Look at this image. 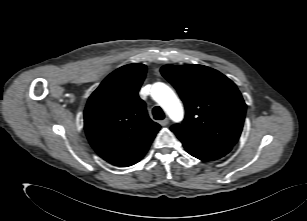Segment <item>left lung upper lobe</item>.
<instances>
[{
	"label": "left lung upper lobe",
	"instance_id": "5c2ea615",
	"mask_svg": "<svg viewBox=\"0 0 307 221\" xmlns=\"http://www.w3.org/2000/svg\"><path fill=\"white\" fill-rule=\"evenodd\" d=\"M161 74L185 104V119L171 127L178 137L213 145H235L242 132L246 104L229 78L197 64L165 65Z\"/></svg>",
	"mask_w": 307,
	"mask_h": 221
}]
</instances>
